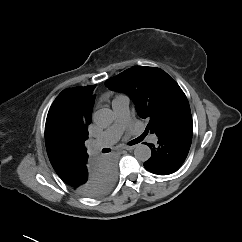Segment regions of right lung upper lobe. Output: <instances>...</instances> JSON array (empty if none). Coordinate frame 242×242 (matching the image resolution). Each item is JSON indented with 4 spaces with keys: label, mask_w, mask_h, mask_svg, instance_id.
<instances>
[{
    "label": "right lung upper lobe",
    "mask_w": 242,
    "mask_h": 242,
    "mask_svg": "<svg viewBox=\"0 0 242 242\" xmlns=\"http://www.w3.org/2000/svg\"><path fill=\"white\" fill-rule=\"evenodd\" d=\"M95 85L69 88L52 103L45 124V143L49 160L63 178L87 156L85 140L92 119Z\"/></svg>",
    "instance_id": "1"
}]
</instances>
